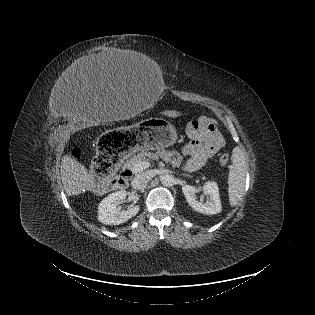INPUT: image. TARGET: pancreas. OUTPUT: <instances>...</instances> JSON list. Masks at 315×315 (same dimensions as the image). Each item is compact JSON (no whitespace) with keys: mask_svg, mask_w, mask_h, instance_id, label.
<instances>
[{"mask_svg":"<svg viewBox=\"0 0 315 315\" xmlns=\"http://www.w3.org/2000/svg\"><path fill=\"white\" fill-rule=\"evenodd\" d=\"M163 159L166 162H170L173 167H180L183 157L177 152L157 150L154 152H140L134 155L132 158L128 159L125 163V168L133 170L134 166L139 162H148L149 160Z\"/></svg>","mask_w":315,"mask_h":315,"instance_id":"1","label":"pancreas"}]
</instances>
